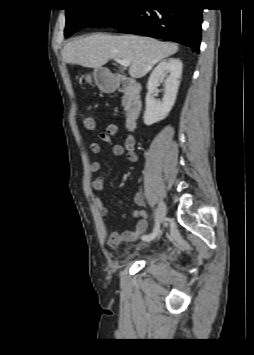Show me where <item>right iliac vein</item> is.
<instances>
[{"label": "right iliac vein", "mask_w": 254, "mask_h": 355, "mask_svg": "<svg viewBox=\"0 0 254 355\" xmlns=\"http://www.w3.org/2000/svg\"><path fill=\"white\" fill-rule=\"evenodd\" d=\"M167 214V207L165 203L161 200L158 203L157 210H156V217L159 224H161ZM158 235V234H157Z\"/></svg>", "instance_id": "obj_1"}]
</instances>
